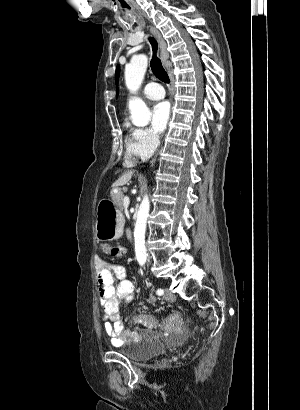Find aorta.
<instances>
[{
	"instance_id": "obj_1",
	"label": "aorta",
	"mask_w": 300,
	"mask_h": 410,
	"mask_svg": "<svg viewBox=\"0 0 300 410\" xmlns=\"http://www.w3.org/2000/svg\"><path fill=\"white\" fill-rule=\"evenodd\" d=\"M148 59L145 55L134 56L125 68V83L127 88L136 93L140 88L147 69ZM129 110L132 123L138 127L148 125L151 113L146 104L140 98H133L129 101ZM150 210V200L148 195H144L137 213V220L134 228V245L136 259L139 265L143 266L147 260L145 247V231L147 218Z\"/></svg>"
}]
</instances>
